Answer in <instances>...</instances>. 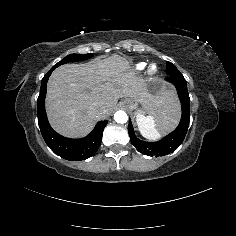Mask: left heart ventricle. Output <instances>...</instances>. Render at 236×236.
I'll return each instance as SVG.
<instances>
[{"mask_svg": "<svg viewBox=\"0 0 236 236\" xmlns=\"http://www.w3.org/2000/svg\"><path fill=\"white\" fill-rule=\"evenodd\" d=\"M155 69H156V68H155V67H153V68H152V71H155Z\"/></svg>", "mask_w": 236, "mask_h": 236, "instance_id": "left-heart-ventricle-1", "label": "left heart ventricle"}]
</instances>
